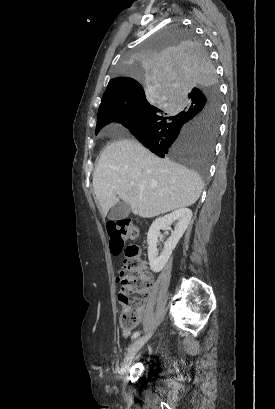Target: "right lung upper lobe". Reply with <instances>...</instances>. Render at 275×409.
Segmentation results:
<instances>
[{"label": "right lung upper lobe", "mask_w": 275, "mask_h": 409, "mask_svg": "<svg viewBox=\"0 0 275 409\" xmlns=\"http://www.w3.org/2000/svg\"><path fill=\"white\" fill-rule=\"evenodd\" d=\"M135 96H145L144 88L138 81L127 77L111 79L102 97L98 112L111 108L121 100L135 98Z\"/></svg>", "instance_id": "cb5924a9"}]
</instances>
